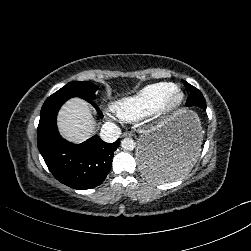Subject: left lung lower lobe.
<instances>
[{"mask_svg": "<svg viewBox=\"0 0 251 251\" xmlns=\"http://www.w3.org/2000/svg\"><path fill=\"white\" fill-rule=\"evenodd\" d=\"M187 106H199L203 108L202 106L198 104H192V103H186ZM204 109V108H203ZM206 110V108H205ZM159 153L157 148L149 146L147 147L142 155V164L144 169L150 173V174H156L160 171L161 163L159 159Z\"/></svg>", "mask_w": 251, "mask_h": 251, "instance_id": "left-lung-lower-lobe-1", "label": "left lung lower lobe"}]
</instances>
